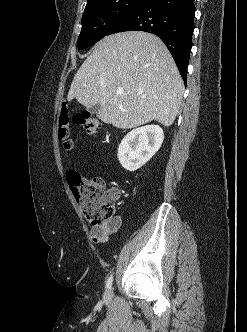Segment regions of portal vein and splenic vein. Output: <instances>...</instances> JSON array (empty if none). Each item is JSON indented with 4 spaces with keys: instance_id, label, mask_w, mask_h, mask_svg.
<instances>
[{
    "instance_id": "portal-vein-and-splenic-vein-1",
    "label": "portal vein and splenic vein",
    "mask_w": 247,
    "mask_h": 332,
    "mask_svg": "<svg viewBox=\"0 0 247 332\" xmlns=\"http://www.w3.org/2000/svg\"><path fill=\"white\" fill-rule=\"evenodd\" d=\"M117 94H123V90L122 89H118L117 90Z\"/></svg>"
}]
</instances>
